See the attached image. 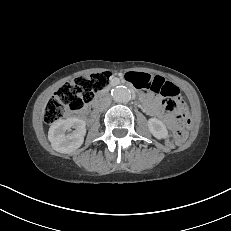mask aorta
Masks as SVG:
<instances>
[{"label": "aorta", "mask_w": 231, "mask_h": 231, "mask_svg": "<svg viewBox=\"0 0 231 231\" xmlns=\"http://www.w3.org/2000/svg\"><path fill=\"white\" fill-rule=\"evenodd\" d=\"M112 98L118 103H127L131 99V92L124 86H117L111 92Z\"/></svg>", "instance_id": "1"}]
</instances>
